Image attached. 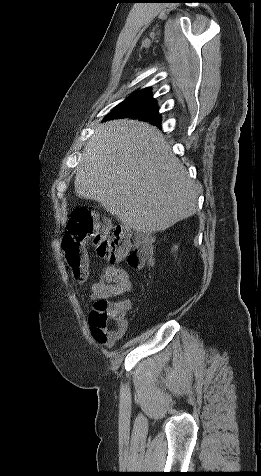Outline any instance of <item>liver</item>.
<instances>
[{
    "mask_svg": "<svg viewBox=\"0 0 261 476\" xmlns=\"http://www.w3.org/2000/svg\"><path fill=\"white\" fill-rule=\"evenodd\" d=\"M75 191L137 232L164 231L196 213L197 186L154 126L116 119L98 126L76 168Z\"/></svg>",
    "mask_w": 261,
    "mask_h": 476,
    "instance_id": "6515ba94",
    "label": "liver"
}]
</instances>
